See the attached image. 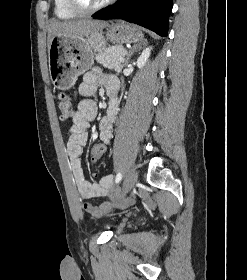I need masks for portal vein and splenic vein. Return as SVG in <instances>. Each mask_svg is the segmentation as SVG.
Here are the masks:
<instances>
[{"label":"portal vein and splenic vein","mask_w":247,"mask_h":280,"mask_svg":"<svg viewBox=\"0 0 247 280\" xmlns=\"http://www.w3.org/2000/svg\"><path fill=\"white\" fill-rule=\"evenodd\" d=\"M125 54H126V52L120 57L119 60H120L121 62H124V61H125V58H124V55H125Z\"/></svg>","instance_id":"18ae733b"}]
</instances>
